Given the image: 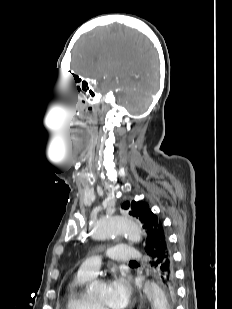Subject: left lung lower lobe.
<instances>
[{"mask_svg": "<svg viewBox=\"0 0 232 309\" xmlns=\"http://www.w3.org/2000/svg\"><path fill=\"white\" fill-rule=\"evenodd\" d=\"M150 259V267L156 271L166 292L176 293L174 265L171 249L163 225H159L155 239L145 248Z\"/></svg>", "mask_w": 232, "mask_h": 309, "instance_id": "0a47b994", "label": "left lung lower lobe"}]
</instances>
